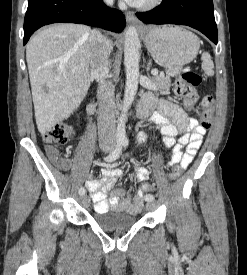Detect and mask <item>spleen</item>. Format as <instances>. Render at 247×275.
<instances>
[{
    "label": "spleen",
    "instance_id": "3e777b00",
    "mask_svg": "<svg viewBox=\"0 0 247 275\" xmlns=\"http://www.w3.org/2000/svg\"><path fill=\"white\" fill-rule=\"evenodd\" d=\"M202 59V69L204 72L211 76L214 74L213 68H214V63L211 59V56L208 52H204L201 56Z\"/></svg>",
    "mask_w": 247,
    "mask_h": 275
}]
</instances>
